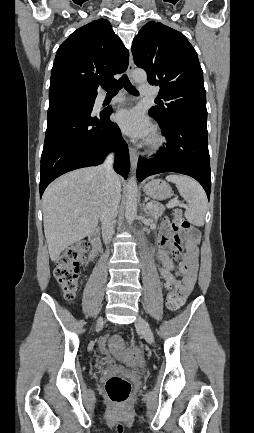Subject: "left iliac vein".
<instances>
[{
  "label": "left iliac vein",
  "instance_id": "1",
  "mask_svg": "<svg viewBox=\"0 0 254 433\" xmlns=\"http://www.w3.org/2000/svg\"><path fill=\"white\" fill-rule=\"evenodd\" d=\"M135 326H136V328H138L142 332L145 340L149 344H152L154 338H153V333H152V330H151L148 322L145 319H143L141 316H138L136 319V322H135Z\"/></svg>",
  "mask_w": 254,
  "mask_h": 433
}]
</instances>
